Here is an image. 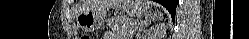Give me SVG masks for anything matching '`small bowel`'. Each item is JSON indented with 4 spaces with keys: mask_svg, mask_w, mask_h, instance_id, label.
I'll use <instances>...</instances> for the list:
<instances>
[{
    "mask_svg": "<svg viewBox=\"0 0 249 39\" xmlns=\"http://www.w3.org/2000/svg\"><path fill=\"white\" fill-rule=\"evenodd\" d=\"M103 39H115V36H114V34L112 32H107L104 35Z\"/></svg>",
    "mask_w": 249,
    "mask_h": 39,
    "instance_id": "1",
    "label": "small bowel"
}]
</instances>
